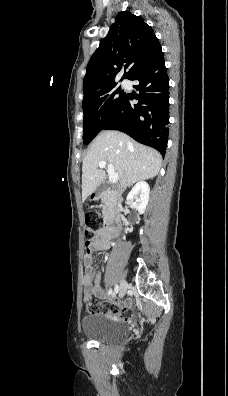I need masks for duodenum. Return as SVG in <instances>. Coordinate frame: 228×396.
<instances>
[{"label": "duodenum", "instance_id": "obj_1", "mask_svg": "<svg viewBox=\"0 0 228 396\" xmlns=\"http://www.w3.org/2000/svg\"><path fill=\"white\" fill-rule=\"evenodd\" d=\"M108 191H109L108 186L101 185L96 191V195L100 197L107 194ZM120 227H121L120 211L118 207V202L116 199H114L105 221V228L107 231L115 235L120 230Z\"/></svg>", "mask_w": 228, "mask_h": 396}]
</instances>
